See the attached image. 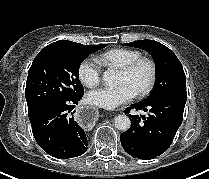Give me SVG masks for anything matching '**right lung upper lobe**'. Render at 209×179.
<instances>
[{
  "mask_svg": "<svg viewBox=\"0 0 209 179\" xmlns=\"http://www.w3.org/2000/svg\"><path fill=\"white\" fill-rule=\"evenodd\" d=\"M76 44L78 43L67 41V40H60V41L50 44L49 46H70V45H76Z\"/></svg>",
  "mask_w": 209,
  "mask_h": 179,
  "instance_id": "cb5924a9",
  "label": "right lung upper lobe"
}]
</instances>
